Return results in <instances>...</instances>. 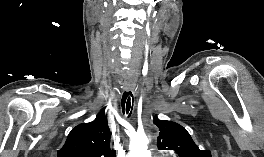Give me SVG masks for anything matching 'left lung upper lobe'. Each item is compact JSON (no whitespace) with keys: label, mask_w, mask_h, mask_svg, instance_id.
Masks as SVG:
<instances>
[{"label":"left lung upper lobe","mask_w":264,"mask_h":157,"mask_svg":"<svg viewBox=\"0 0 264 157\" xmlns=\"http://www.w3.org/2000/svg\"><path fill=\"white\" fill-rule=\"evenodd\" d=\"M154 124L160 130L157 144L160 150H173L178 157H211L210 151L200 150L181 125L157 117Z\"/></svg>","instance_id":"obj_1"}]
</instances>
